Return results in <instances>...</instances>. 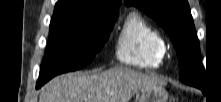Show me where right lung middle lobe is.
<instances>
[{"label":"right lung middle lobe","instance_id":"dd1d6c3e","mask_svg":"<svg viewBox=\"0 0 221 102\" xmlns=\"http://www.w3.org/2000/svg\"><path fill=\"white\" fill-rule=\"evenodd\" d=\"M118 13L53 14L37 82L88 65L107 41Z\"/></svg>","mask_w":221,"mask_h":102}]
</instances>
